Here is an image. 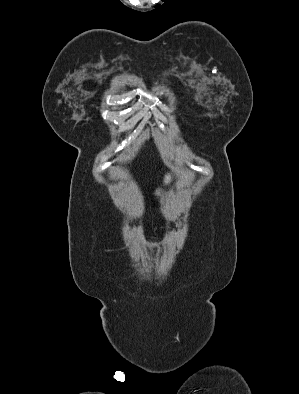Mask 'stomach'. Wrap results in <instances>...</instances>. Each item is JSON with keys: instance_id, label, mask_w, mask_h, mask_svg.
<instances>
[{"instance_id": "0dacf381", "label": "stomach", "mask_w": 299, "mask_h": 394, "mask_svg": "<svg viewBox=\"0 0 299 394\" xmlns=\"http://www.w3.org/2000/svg\"><path fill=\"white\" fill-rule=\"evenodd\" d=\"M177 177H178V173L175 170L169 171L164 177V181H163L164 185L167 186V185L172 184L177 179ZM155 194L158 197H161V200H162V198H163L162 197L163 196V189L162 188L157 189Z\"/></svg>"}]
</instances>
